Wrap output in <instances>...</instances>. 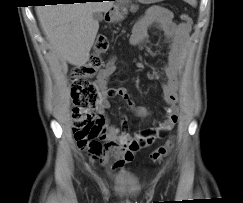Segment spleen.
<instances>
[{"label": "spleen", "instance_id": "obj_1", "mask_svg": "<svg viewBox=\"0 0 243 203\" xmlns=\"http://www.w3.org/2000/svg\"><path fill=\"white\" fill-rule=\"evenodd\" d=\"M184 1L188 2L190 5L194 7L197 5L196 0H184Z\"/></svg>", "mask_w": 243, "mask_h": 203}]
</instances>
